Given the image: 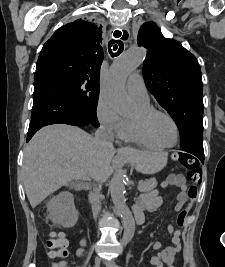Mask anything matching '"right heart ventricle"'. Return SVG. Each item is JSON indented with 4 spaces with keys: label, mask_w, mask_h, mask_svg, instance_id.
Returning a JSON list of instances; mask_svg holds the SVG:
<instances>
[{
    "label": "right heart ventricle",
    "mask_w": 225,
    "mask_h": 267,
    "mask_svg": "<svg viewBox=\"0 0 225 267\" xmlns=\"http://www.w3.org/2000/svg\"><path fill=\"white\" fill-rule=\"evenodd\" d=\"M136 104L138 108V113L147 111L152 108L149 101H144V102L136 101ZM138 113L134 117L125 119V125L122 137L130 142H133L145 148L155 149V150L161 149L157 145H155L145 134L141 126L140 120L138 118Z\"/></svg>",
    "instance_id": "e07e8e85"
}]
</instances>
